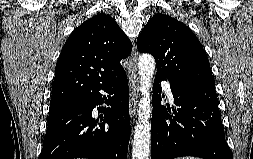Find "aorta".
I'll list each match as a JSON object with an SVG mask.
<instances>
[{
  "label": "aorta",
  "instance_id": "762f6f07",
  "mask_svg": "<svg viewBox=\"0 0 253 159\" xmlns=\"http://www.w3.org/2000/svg\"><path fill=\"white\" fill-rule=\"evenodd\" d=\"M155 60L150 54H142L138 59L141 98L132 146V159H149L151 144V90Z\"/></svg>",
  "mask_w": 253,
  "mask_h": 159
}]
</instances>
